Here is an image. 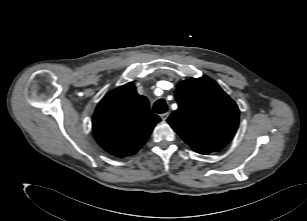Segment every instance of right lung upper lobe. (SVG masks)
I'll return each mask as SVG.
<instances>
[{
	"label": "right lung upper lobe",
	"instance_id": "right-lung-upper-lobe-1",
	"mask_svg": "<svg viewBox=\"0 0 307 221\" xmlns=\"http://www.w3.org/2000/svg\"><path fill=\"white\" fill-rule=\"evenodd\" d=\"M92 121L99 145L108 153L123 158L142 147L160 118L150 110L148 99L137 94L130 82L104 96Z\"/></svg>",
	"mask_w": 307,
	"mask_h": 221
}]
</instances>
